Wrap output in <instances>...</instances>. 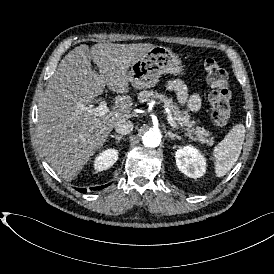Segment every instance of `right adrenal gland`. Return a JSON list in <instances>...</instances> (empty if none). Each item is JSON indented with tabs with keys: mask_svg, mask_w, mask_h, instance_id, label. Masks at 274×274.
Masks as SVG:
<instances>
[{
	"mask_svg": "<svg viewBox=\"0 0 274 274\" xmlns=\"http://www.w3.org/2000/svg\"><path fill=\"white\" fill-rule=\"evenodd\" d=\"M111 137H112V138H115L118 142H119L120 140L123 139V136H122V135H117V134L111 135Z\"/></svg>",
	"mask_w": 274,
	"mask_h": 274,
	"instance_id": "2a0ac1e0",
	"label": "right adrenal gland"
}]
</instances>
